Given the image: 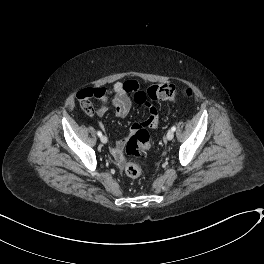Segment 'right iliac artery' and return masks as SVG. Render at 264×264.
I'll list each match as a JSON object with an SVG mask.
<instances>
[{
	"label": "right iliac artery",
	"mask_w": 264,
	"mask_h": 264,
	"mask_svg": "<svg viewBox=\"0 0 264 264\" xmlns=\"http://www.w3.org/2000/svg\"><path fill=\"white\" fill-rule=\"evenodd\" d=\"M97 135H98L99 137H101V136H102V132H101V131H97Z\"/></svg>",
	"instance_id": "1"
}]
</instances>
